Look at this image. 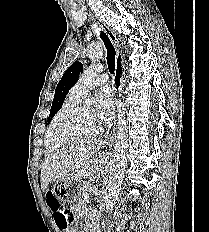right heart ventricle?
<instances>
[{"label": "right heart ventricle", "instance_id": "e07e8e85", "mask_svg": "<svg viewBox=\"0 0 209 232\" xmlns=\"http://www.w3.org/2000/svg\"><path fill=\"white\" fill-rule=\"evenodd\" d=\"M79 102L80 101H77L72 97L68 96L65 102L63 103V105L61 106V108L55 114L48 128L46 139H45V148L48 152L57 151L67 145L66 143H61L54 139L52 128L60 121V119L64 116V114H66L69 110L76 107Z\"/></svg>", "mask_w": 209, "mask_h": 232}]
</instances>
